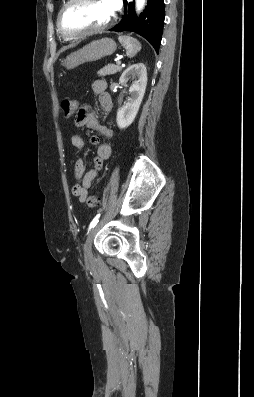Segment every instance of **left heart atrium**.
Returning a JSON list of instances; mask_svg holds the SVG:
<instances>
[{"label":"left heart atrium","mask_w":254,"mask_h":397,"mask_svg":"<svg viewBox=\"0 0 254 397\" xmlns=\"http://www.w3.org/2000/svg\"><path fill=\"white\" fill-rule=\"evenodd\" d=\"M112 12L116 11L120 6V0H106Z\"/></svg>","instance_id":"obj_1"}]
</instances>
